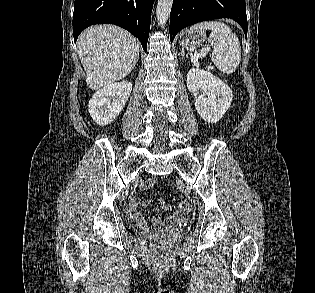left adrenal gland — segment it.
I'll list each match as a JSON object with an SVG mask.
<instances>
[{
    "instance_id": "obj_1",
    "label": "left adrenal gland",
    "mask_w": 315,
    "mask_h": 293,
    "mask_svg": "<svg viewBox=\"0 0 315 293\" xmlns=\"http://www.w3.org/2000/svg\"><path fill=\"white\" fill-rule=\"evenodd\" d=\"M178 55H180V56H182V57H184V56H186L187 57V55L184 53V51L182 50L181 52H179L178 53Z\"/></svg>"
}]
</instances>
